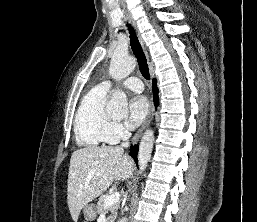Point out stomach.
<instances>
[{
  "mask_svg": "<svg viewBox=\"0 0 257 222\" xmlns=\"http://www.w3.org/2000/svg\"><path fill=\"white\" fill-rule=\"evenodd\" d=\"M83 215L86 220L92 221L96 218V208L93 204H86L83 208Z\"/></svg>",
  "mask_w": 257,
  "mask_h": 222,
  "instance_id": "obj_1",
  "label": "stomach"
}]
</instances>
